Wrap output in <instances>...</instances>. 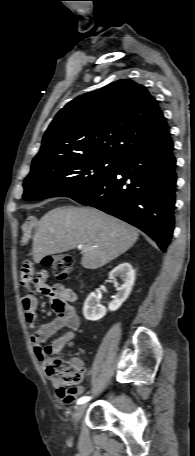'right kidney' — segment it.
Segmentation results:
<instances>
[{
	"label": "right kidney",
	"instance_id": "right-kidney-1",
	"mask_svg": "<svg viewBox=\"0 0 195 456\" xmlns=\"http://www.w3.org/2000/svg\"><path fill=\"white\" fill-rule=\"evenodd\" d=\"M116 277H120L122 281L121 284L117 283ZM109 278L114 281L117 294L109 304L108 310L116 311L121 307L131 293L135 281V270L129 263L124 262L119 264L110 272ZM106 313L107 309L100 304L99 296L95 292L90 293L86 298L83 307V315L85 319L96 321L103 318Z\"/></svg>",
	"mask_w": 195,
	"mask_h": 456
}]
</instances>
